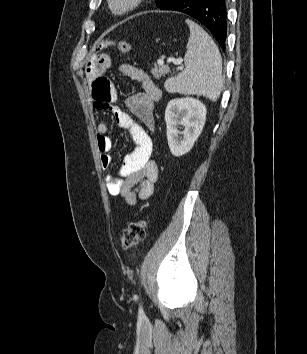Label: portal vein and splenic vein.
<instances>
[{
	"label": "portal vein and splenic vein",
	"mask_w": 307,
	"mask_h": 354,
	"mask_svg": "<svg viewBox=\"0 0 307 354\" xmlns=\"http://www.w3.org/2000/svg\"><path fill=\"white\" fill-rule=\"evenodd\" d=\"M182 62H183V59H182V58H178V59H175V58H168V59H167V63H173V64H175V65H181ZM158 64L163 65V64H164L163 60H159V61H158Z\"/></svg>",
	"instance_id": "1"
}]
</instances>
